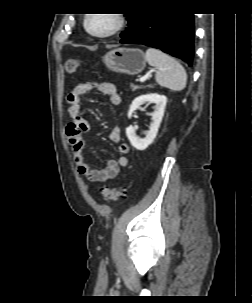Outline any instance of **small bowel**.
I'll return each mask as SVG.
<instances>
[{
	"label": "small bowel",
	"instance_id": "small-bowel-1",
	"mask_svg": "<svg viewBox=\"0 0 252 303\" xmlns=\"http://www.w3.org/2000/svg\"><path fill=\"white\" fill-rule=\"evenodd\" d=\"M92 91L108 96L113 105L117 106L121 103V97L113 84L84 82L77 85L68 95V112L71 117V125L67 129V138L72 146L77 172L86 176L92 182H105L114 178L121 168L127 166L129 145L122 141L120 126L116 124L109 132V140L118 145L117 152L119 156L108 160L106 166L102 169L92 168L84 159L85 134L91 126L81 114V100L84 94Z\"/></svg>",
	"mask_w": 252,
	"mask_h": 303
}]
</instances>
